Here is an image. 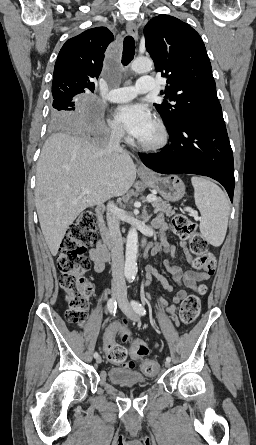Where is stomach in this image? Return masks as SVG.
Returning <instances> with one entry per match:
<instances>
[{
    "label": "stomach",
    "mask_w": 256,
    "mask_h": 445,
    "mask_svg": "<svg viewBox=\"0 0 256 445\" xmlns=\"http://www.w3.org/2000/svg\"><path fill=\"white\" fill-rule=\"evenodd\" d=\"M141 179L146 186L157 191L166 201L177 202L185 195V185L177 176L153 175L150 178L141 177Z\"/></svg>",
    "instance_id": "0dacf381"
}]
</instances>
